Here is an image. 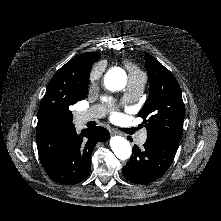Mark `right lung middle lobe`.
<instances>
[{
    "instance_id": "obj_1",
    "label": "right lung middle lobe",
    "mask_w": 221,
    "mask_h": 221,
    "mask_svg": "<svg viewBox=\"0 0 221 221\" xmlns=\"http://www.w3.org/2000/svg\"><path fill=\"white\" fill-rule=\"evenodd\" d=\"M86 95H87V92H86V91L80 93V94H79V97L77 98V100L85 99V98H86Z\"/></svg>"
}]
</instances>
